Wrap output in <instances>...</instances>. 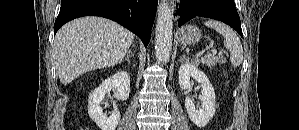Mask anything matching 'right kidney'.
<instances>
[{
  "label": "right kidney",
  "instance_id": "ca27d5eb",
  "mask_svg": "<svg viewBox=\"0 0 299 130\" xmlns=\"http://www.w3.org/2000/svg\"><path fill=\"white\" fill-rule=\"evenodd\" d=\"M115 90L117 100H126L130 92V76L125 71H120L104 80L88 98V114L101 130H115L121 115L114 109L111 116L107 117L101 107L102 100L111 90Z\"/></svg>",
  "mask_w": 299,
  "mask_h": 130
}]
</instances>
